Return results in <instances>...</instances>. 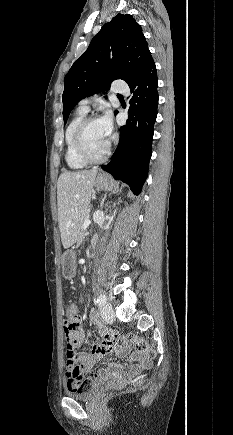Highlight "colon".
Listing matches in <instances>:
<instances>
[{"label": "colon", "instance_id": "colon-1", "mask_svg": "<svg viewBox=\"0 0 233 435\" xmlns=\"http://www.w3.org/2000/svg\"><path fill=\"white\" fill-rule=\"evenodd\" d=\"M67 312V320L64 325V335H65V347L64 354L67 366L74 368L75 370L81 371L80 366L78 365L77 359V336L79 332V326L81 322V318L77 311H75L70 305L66 306ZM123 342L127 345H131L134 347L135 351L140 354H143L149 359L154 358L155 353L152 348L148 345V343L140 337L135 335H126L122 338ZM118 342V336L115 332L109 330L107 331V338L104 341V348L107 351H112ZM81 375V374H80ZM80 375L77 377V380L68 386L71 391L83 392L93 384L92 380L85 379L81 380ZM145 375H139L136 377L137 383H143L145 381Z\"/></svg>", "mask_w": 233, "mask_h": 435}]
</instances>
